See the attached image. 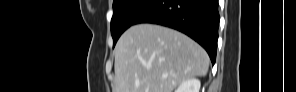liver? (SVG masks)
Returning <instances> with one entry per match:
<instances>
[{
    "label": "liver",
    "mask_w": 296,
    "mask_h": 92,
    "mask_svg": "<svg viewBox=\"0 0 296 92\" xmlns=\"http://www.w3.org/2000/svg\"><path fill=\"white\" fill-rule=\"evenodd\" d=\"M114 54L115 92H172L189 78L205 76L210 61L186 35L153 24L126 30Z\"/></svg>",
    "instance_id": "6515ba94"
}]
</instances>
